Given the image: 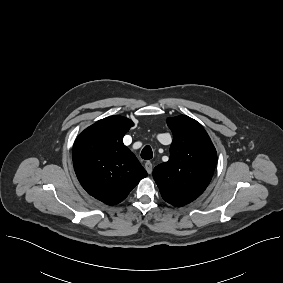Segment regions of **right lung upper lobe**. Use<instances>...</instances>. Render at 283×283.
Instances as JSON below:
<instances>
[{"label": "right lung upper lobe", "instance_id": "cb5924a9", "mask_svg": "<svg viewBox=\"0 0 283 283\" xmlns=\"http://www.w3.org/2000/svg\"><path fill=\"white\" fill-rule=\"evenodd\" d=\"M133 122L121 116L99 120L75 140L73 164L82 187L108 205L123 201L147 176L136 156L123 144Z\"/></svg>", "mask_w": 283, "mask_h": 283}]
</instances>
